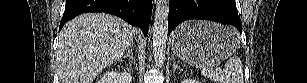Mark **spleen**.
Returning a JSON list of instances; mask_svg holds the SVG:
<instances>
[{
	"label": "spleen",
	"mask_w": 307,
	"mask_h": 83,
	"mask_svg": "<svg viewBox=\"0 0 307 83\" xmlns=\"http://www.w3.org/2000/svg\"><path fill=\"white\" fill-rule=\"evenodd\" d=\"M201 73L215 83H244L242 62L237 56L229 58L223 70H213L210 65H206Z\"/></svg>",
	"instance_id": "3e777b00"
}]
</instances>
